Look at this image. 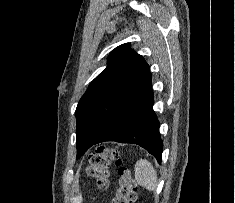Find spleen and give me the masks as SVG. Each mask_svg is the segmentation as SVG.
Segmentation results:
<instances>
[{"mask_svg": "<svg viewBox=\"0 0 235 203\" xmlns=\"http://www.w3.org/2000/svg\"><path fill=\"white\" fill-rule=\"evenodd\" d=\"M135 179L137 183L149 191H154L158 185L157 172L146 159H140L135 164Z\"/></svg>", "mask_w": 235, "mask_h": 203, "instance_id": "1", "label": "spleen"}]
</instances>
